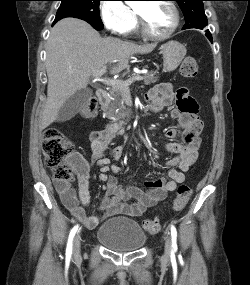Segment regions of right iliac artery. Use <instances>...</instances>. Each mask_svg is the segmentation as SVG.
<instances>
[{
    "instance_id": "obj_1",
    "label": "right iliac artery",
    "mask_w": 250,
    "mask_h": 285,
    "mask_svg": "<svg viewBox=\"0 0 250 285\" xmlns=\"http://www.w3.org/2000/svg\"><path fill=\"white\" fill-rule=\"evenodd\" d=\"M77 230H78V225L74 226L72 228V230L70 231L68 243H67V248H66V256L67 257H70L72 254V242H73V238H74Z\"/></svg>"
}]
</instances>
